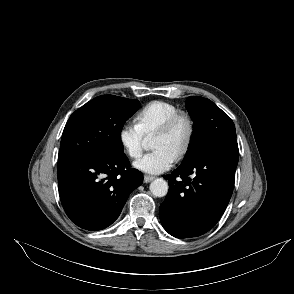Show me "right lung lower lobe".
I'll use <instances>...</instances> for the list:
<instances>
[{
	"label": "right lung lower lobe",
	"instance_id": "right-lung-lower-lobe-1",
	"mask_svg": "<svg viewBox=\"0 0 294 294\" xmlns=\"http://www.w3.org/2000/svg\"><path fill=\"white\" fill-rule=\"evenodd\" d=\"M58 188L63 208L79 227L96 231L120 215L143 175L130 168L124 153L77 157L58 164Z\"/></svg>",
	"mask_w": 294,
	"mask_h": 294
}]
</instances>
